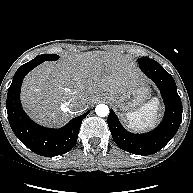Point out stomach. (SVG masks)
<instances>
[{"mask_svg":"<svg viewBox=\"0 0 193 193\" xmlns=\"http://www.w3.org/2000/svg\"><path fill=\"white\" fill-rule=\"evenodd\" d=\"M149 95L150 89L140 81L122 92H107L103 97L118 106L121 111H131L142 105Z\"/></svg>","mask_w":193,"mask_h":193,"instance_id":"obj_1","label":"stomach"}]
</instances>
